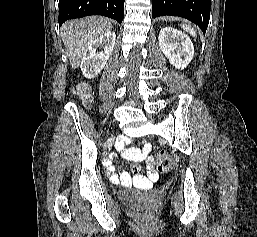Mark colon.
<instances>
[{
  "instance_id": "colon-1",
  "label": "colon",
  "mask_w": 257,
  "mask_h": 237,
  "mask_svg": "<svg viewBox=\"0 0 257 237\" xmlns=\"http://www.w3.org/2000/svg\"><path fill=\"white\" fill-rule=\"evenodd\" d=\"M76 92L83 100H87L90 97L89 88L85 84H79L76 88ZM172 164H173V161H172V158L170 157V155H168L166 153H160L158 155V167L160 170H162V171L168 170L169 168H171ZM133 170L138 171L139 166L134 165ZM140 213L146 218L151 217V212L146 207H142L140 209Z\"/></svg>"
}]
</instances>
